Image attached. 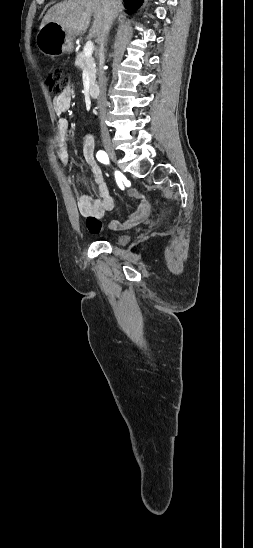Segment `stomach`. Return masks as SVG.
<instances>
[{
    "instance_id": "0dacf381",
    "label": "stomach",
    "mask_w": 253,
    "mask_h": 548,
    "mask_svg": "<svg viewBox=\"0 0 253 548\" xmlns=\"http://www.w3.org/2000/svg\"><path fill=\"white\" fill-rule=\"evenodd\" d=\"M36 45L45 55L59 56L74 49L73 37L67 35L58 24L50 22L40 28L36 36Z\"/></svg>"
}]
</instances>
